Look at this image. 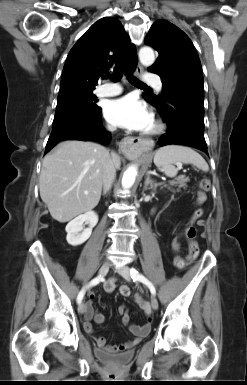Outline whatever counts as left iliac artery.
Returning <instances> with one entry per match:
<instances>
[{
    "instance_id": "44dca946",
    "label": "left iliac artery",
    "mask_w": 247,
    "mask_h": 385,
    "mask_svg": "<svg viewBox=\"0 0 247 385\" xmlns=\"http://www.w3.org/2000/svg\"><path fill=\"white\" fill-rule=\"evenodd\" d=\"M131 277L133 281H140L141 283L146 285L149 288L152 295H156V289L154 285L144 275L140 274L135 269H131Z\"/></svg>"
}]
</instances>
